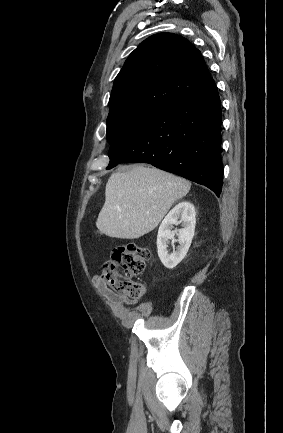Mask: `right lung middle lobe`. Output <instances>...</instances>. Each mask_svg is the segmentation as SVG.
<instances>
[{"mask_svg": "<svg viewBox=\"0 0 283 433\" xmlns=\"http://www.w3.org/2000/svg\"><path fill=\"white\" fill-rule=\"evenodd\" d=\"M162 110L143 105H127L110 110L107 118V140L110 144L109 158L122 151L142 128Z\"/></svg>", "mask_w": 283, "mask_h": 433, "instance_id": "1", "label": "right lung middle lobe"}]
</instances>
